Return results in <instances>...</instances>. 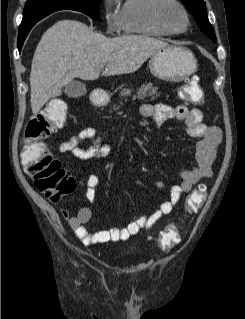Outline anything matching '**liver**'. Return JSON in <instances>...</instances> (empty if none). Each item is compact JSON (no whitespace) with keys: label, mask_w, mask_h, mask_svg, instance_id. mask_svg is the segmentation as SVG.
I'll return each mask as SVG.
<instances>
[{"label":"liver","mask_w":245,"mask_h":319,"mask_svg":"<svg viewBox=\"0 0 245 319\" xmlns=\"http://www.w3.org/2000/svg\"><path fill=\"white\" fill-rule=\"evenodd\" d=\"M168 44L145 35L107 38L80 21L56 22L43 35L35 50L30 73V101L33 114L75 77L95 80L102 75L137 71L157 50Z\"/></svg>","instance_id":"obj_1"}]
</instances>
